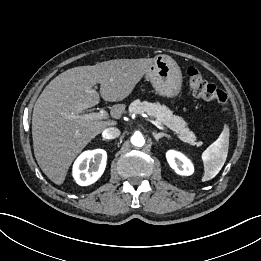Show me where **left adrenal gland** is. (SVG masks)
Here are the masks:
<instances>
[{
	"label": "left adrenal gland",
	"mask_w": 261,
	"mask_h": 261,
	"mask_svg": "<svg viewBox=\"0 0 261 261\" xmlns=\"http://www.w3.org/2000/svg\"><path fill=\"white\" fill-rule=\"evenodd\" d=\"M154 138L156 139V141L158 142L159 139L163 138V137H167V138H170V135L166 134V133H156V132H153L152 133Z\"/></svg>",
	"instance_id": "obj_1"
}]
</instances>
